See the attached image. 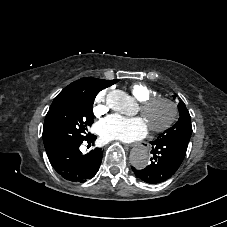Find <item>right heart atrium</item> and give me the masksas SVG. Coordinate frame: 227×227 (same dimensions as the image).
<instances>
[{
	"instance_id": "right-heart-atrium-1",
	"label": "right heart atrium",
	"mask_w": 227,
	"mask_h": 227,
	"mask_svg": "<svg viewBox=\"0 0 227 227\" xmlns=\"http://www.w3.org/2000/svg\"><path fill=\"white\" fill-rule=\"evenodd\" d=\"M104 98H105V92H101L98 96H97V102H98V106L96 108V113L97 114H101L103 112L106 111V105L104 104Z\"/></svg>"
}]
</instances>
